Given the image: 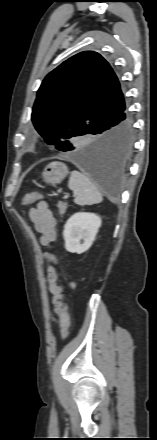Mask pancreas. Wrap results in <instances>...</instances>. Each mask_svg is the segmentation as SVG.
<instances>
[{
  "label": "pancreas",
  "instance_id": "pancreas-1",
  "mask_svg": "<svg viewBox=\"0 0 157 440\" xmlns=\"http://www.w3.org/2000/svg\"><path fill=\"white\" fill-rule=\"evenodd\" d=\"M57 206L59 208L60 215H64L67 209V203L59 202Z\"/></svg>",
  "mask_w": 157,
  "mask_h": 440
}]
</instances>
